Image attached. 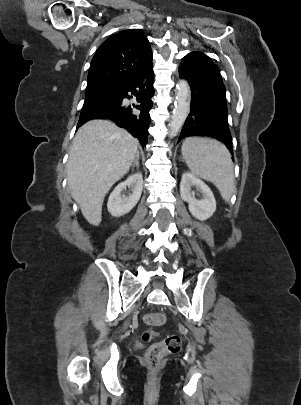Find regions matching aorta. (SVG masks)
<instances>
[{"instance_id": "762f6f07", "label": "aorta", "mask_w": 301, "mask_h": 405, "mask_svg": "<svg viewBox=\"0 0 301 405\" xmlns=\"http://www.w3.org/2000/svg\"><path fill=\"white\" fill-rule=\"evenodd\" d=\"M190 110V87L186 80L179 81L176 87V101L169 123L170 137H175L182 128Z\"/></svg>"}]
</instances>
